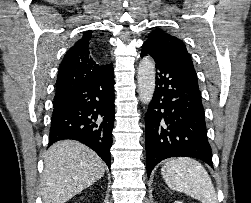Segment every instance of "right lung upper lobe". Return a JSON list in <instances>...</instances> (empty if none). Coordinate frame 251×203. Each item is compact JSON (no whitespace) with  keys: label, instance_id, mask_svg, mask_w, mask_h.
Returning a JSON list of instances; mask_svg holds the SVG:
<instances>
[{"label":"right lung upper lobe","instance_id":"cb5924a9","mask_svg":"<svg viewBox=\"0 0 251 203\" xmlns=\"http://www.w3.org/2000/svg\"><path fill=\"white\" fill-rule=\"evenodd\" d=\"M92 31H87L66 53L59 67L56 94L60 98L85 82L106 73L111 65H100L90 53Z\"/></svg>","mask_w":251,"mask_h":203}]
</instances>
